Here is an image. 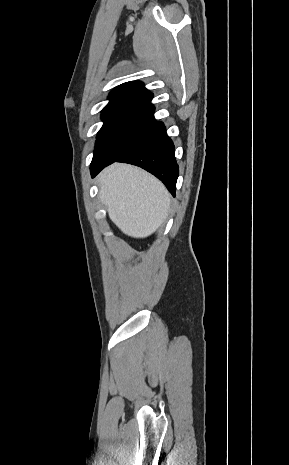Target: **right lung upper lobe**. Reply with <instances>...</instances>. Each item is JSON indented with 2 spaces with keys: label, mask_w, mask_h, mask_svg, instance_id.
<instances>
[{
  "label": "right lung upper lobe",
  "mask_w": 289,
  "mask_h": 465,
  "mask_svg": "<svg viewBox=\"0 0 289 465\" xmlns=\"http://www.w3.org/2000/svg\"><path fill=\"white\" fill-rule=\"evenodd\" d=\"M153 94L150 93L140 81H131L117 86L111 91L109 103L103 110L125 104L151 105Z\"/></svg>",
  "instance_id": "obj_1"
}]
</instances>
